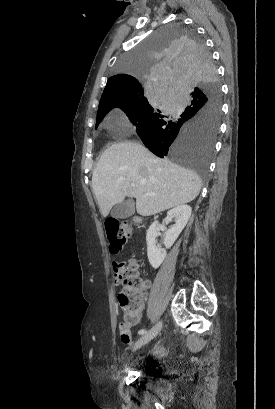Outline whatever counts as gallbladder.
I'll list each match as a JSON object with an SVG mask.
<instances>
[{"label":"gallbladder","instance_id":"bac80fb5","mask_svg":"<svg viewBox=\"0 0 275 409\" xmlns=\"http://www.w3.org/2000/svg\"><path fill=\"white\" fill-rule=\"evenodd\" d=\"M134 200H123V202H118L114 209L111 211V217L115 219H126V217H131L134 215Z\"/></svg>","mask_w":275,"mask_h":409}]
</instances>
